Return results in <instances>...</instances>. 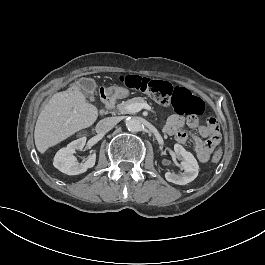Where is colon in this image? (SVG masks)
Wrapping results in <instances>:
<instances>
[{"instance_id": "obj_1", "label": "colon", "mask_w": 265, "mask_h": 265, "mask_svg": "<svg viewBox=\"0 0 265 265\" xmlns=\"http://www.w3.org/2000/svg\"><path fill=\"white\" fill-rule=\"evenodd\" d=\"M120 81L129 89L146 94L161 104L171 105L178 115L198 116L205 111L203 100L185 87L136 74L122 76ZM221 154V150H217L211 161L219 162Z\"/></svg>"}]
</instances>
